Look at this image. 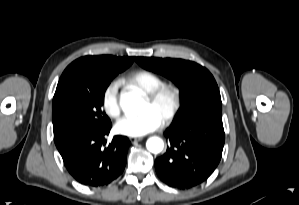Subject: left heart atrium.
<instances>
[{
	"instance_id": "1",
	"label": "left heart atrium",
	"mask_w": 299,
	"mask_h": 205,
	"mask_svg": "<svg viewBox=\"0 0 299 205\" xmlns=\"http://www.w3.org/2000/svg\"><path fill=\"white\" fill-rule=\"evenodd\" d=\"M162 124L161 117L152 109H146L136 116H125L118 120L115 129L119 134L129 137H141Z\"/></svg>"
}]
</instances>
